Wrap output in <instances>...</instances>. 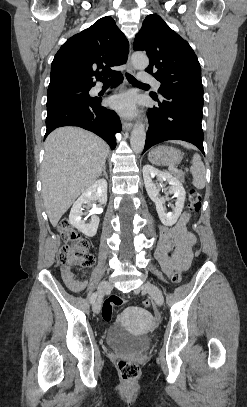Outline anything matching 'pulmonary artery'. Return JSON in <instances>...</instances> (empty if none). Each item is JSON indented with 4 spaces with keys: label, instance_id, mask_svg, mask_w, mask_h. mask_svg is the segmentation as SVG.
Listing matches in <instances>:
<instances>
[{
    "label": "pulmonary artery",
    "instance_id": "e3ab8cb5",
    "mask_svg": "<svg viewBox=\"0 0 247 407\" xmlns=\"http://www.w3.org/2000/svg\"><path fill=\"white\" fill-rule=\"evenodd\" d=\"M138 79L140 82L142 83H146V84H152L154 85L156 88L160 87V83L159 81L156 80V78L154 76H152L149 73L146 72H139L138 74ZM96 91H100L101 90V86H96L95 88Z\"/></svg>",
    "mask_w": 247,
    "mask_h": 407
}]
</instances>
